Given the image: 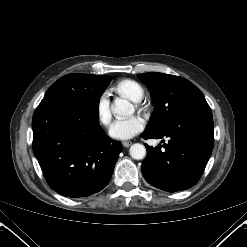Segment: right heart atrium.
<instances>
[{
	"mask_svg": "<svg viewBox=\"0 0 247 247\" xmlns=\"http://www.w3.org/2000/svg\"><path fill=\"white\" fill-rule=\"evenodd\" d=\"M97 118L103 126H109L112 120V113L110 107V98L107 93H103L97 102L96 107Z\"/></svg>",
	"mask_w": 247,
	"mask_h": 247,
	"instance_id": "d8ad5b80",
	"label": "right heart atrium"
}]
</instances>
